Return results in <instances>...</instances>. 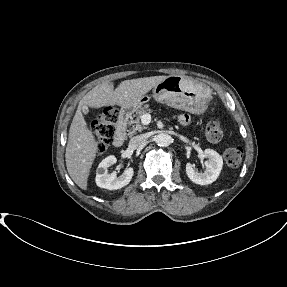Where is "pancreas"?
<instances>
[{"instance_id": "obj_1", "label": "pancreas", "mask_w": 287, "mask_h": 287, "mask_svg": "<svg viewBox=\"0 0 287 287\" xmlns=\"http://www.w3.org/2000/svg\"><path fill=\"white\" fill-rule=\"evenodd\" d=\"M152 110L149 108V105H145L144 107H140L136 114L133 116L135 117V119H131L128 124L131 126L130 130H128V135L132 136L133 134H135L136 132H141L144 129H146V127L140 122V119L142 117V115L146 114V113H151Z\"/></svg>"}]
</instances>
